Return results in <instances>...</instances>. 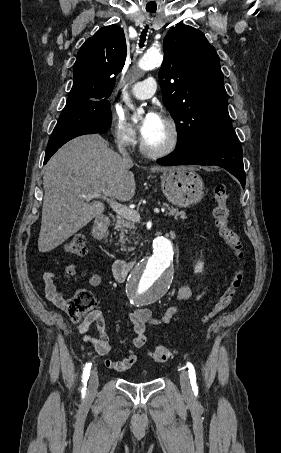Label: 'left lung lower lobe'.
<instances>
[{"mask_svg": "<svg viewBox=\"0 0 281 453\" xmlns=\"http://www.w3.org/2000/svg\"><path fill=\"white\" fill-rule=\"evenodd\" d=\"M157 163L165 166H220L233 174L245 187L242 147L234 131L179 147Z\"/></svg>", "mask_w": 281, "mask_h": 453, "instance_id": "obj_1", "label": "left lung lower lobe"}]
</instances>
